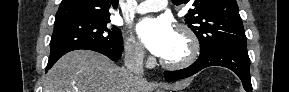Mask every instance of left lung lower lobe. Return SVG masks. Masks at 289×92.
<instances>
[{
  "label": "left lung lower lobe",
  "mask_w": 289,
  "mask_h": 92,
  "mask_svg": "<svg viewBox=\"0 0 289 92\" xmlns=\"http://www.w3.org/2000/svg\"><path fill=\"white\" fill-rule=\"evenodd\" d=\"M209 66H223L235 72L243 83L247 92H252L250 79V59L246 45H225L218 47L199 58L188 68L177 71H165L168 82L190 77L203 68Z\"/></svg>",
  "instance_id": "left-lung-lower-lobe-1"
}]
</instances>
